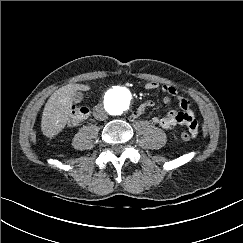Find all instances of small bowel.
Wrapping results in <instances>:
<instances>
[{"label": "small bowel", "mask_w": 243, "mask_h": 243, "mask_svg": "<svg viewBox=\"0 0 243 243\" xmlns=\"http://www.w3.org/2000/svg\"><path fill=\"white\" fill-rule=\"evenodd\" d=\"M147 90H161L165 96L163 97L164 103L170 102V96L178 100L180 110H172L163 116H156L153 118V122L164 129H171L178 125H184L188 128V131L195 137L198 134V121L191 109V104L187 98L182 96L178 90L170 85H160L157 82H148L145 85ZM154 103L147 101L142 103L134 112V117L141 116L147 109L153 108Z\"/></svg>", "instance_id": "obj_1"}]
</instances>
